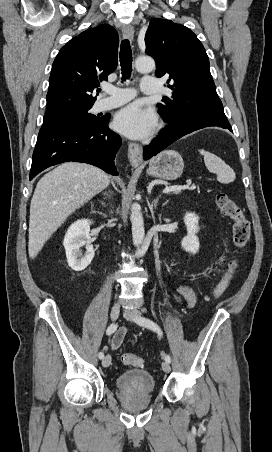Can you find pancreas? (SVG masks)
<instances>
[{"instance_id": "pancreas-1", "label": "pancreas", "mask_w": 272, "mask_h": 452, "mask_svg": "<svg viewBox=\"0 0 272 452\" xmlns=\"http://www.w3.org/2000/svg\"><path fill=\"white\" fill-rule=\"evenodd\" d=\"M173 193H174V194H179V193H180V191H174Z\"/></svg>"}]
</instances>
